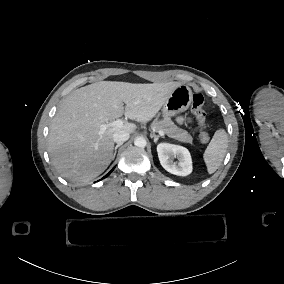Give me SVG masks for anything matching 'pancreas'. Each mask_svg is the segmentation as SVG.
Listing matches in <instances>:
<instances>
[{
  "instance_id": "obj_1",
  "label": "pancreas",
  "mask_w": 284,
  "mask_h": 284,
  "mask_svg": "<svg viewBox=\"0 0 284 284\" xmlns=\"http://www.w3.org/2000/svg\"><path fill=\"white\" fill-rule=\"evenodd\" d=\"M152 128L157 132L163 131L170 138L176 139L182 143L193 146L192 136L186 131L179 128L170 117H165L164 120L158 121L152 125Z\"/></svg>"
}]
</instances>
